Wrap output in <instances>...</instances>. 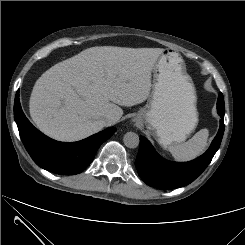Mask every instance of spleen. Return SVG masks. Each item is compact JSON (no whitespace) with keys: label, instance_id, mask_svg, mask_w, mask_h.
Returning <instances> with one entry per match:
<instances>
[{"label":"spleen","instance_id":"obj_1","mask_svg":"<svg viewBox=\"0 0 245 245\" xmlns=\"http://www.w3.org/2000/svg\"><path fill=\"white\" fill-rule=\"evenodd\" d=\"M208 137V129H201L187 142L169 147V151L177 161H190L205 151Z\"/></svg>","mask_w":245,"mask_h":245}]
</instances>
